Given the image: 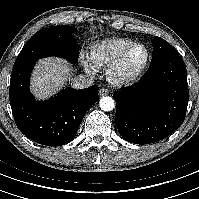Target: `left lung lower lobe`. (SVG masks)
<instances>
[{
  "label": "left lung lower lobe",
  "instance_id": "0a47b994",
  "mask_svg": "<svg viewBox=\"0 0 199 199\" xmlns=\"http://www.w3.org/2000/svg\"><path fill=\"white\" fill-rule=\"evenodd\" d=\"M115 121L121 136L150 144L178 129L186 115L189 91L186 66L177 55L151 63L139 83L113 94Z\"/></svg>",
  "mask_w": 199,
  "mask_h": 199
}]
</instances>
